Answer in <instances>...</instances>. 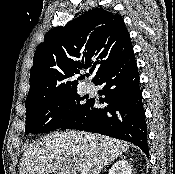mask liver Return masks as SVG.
Segmentation results:
<instances>
[{
	"instance_id": "6515ba94",
	"label": "liver",
	"mask_w": 175,
	"mask_h": 174,
	"mask_svg": "<svg viewBox=\"0 0 175 174\" xmlns=\"http://www.w3.org/2000/svg\"><path fill=\"white\" fill-rule=\"evenodd\" d=\"M129 149L119 139L80 131L57 132L36 141L24 151L20 174H76L74 159L87 174H99L104 166Z\"/></svg>"
}]
</instances>
